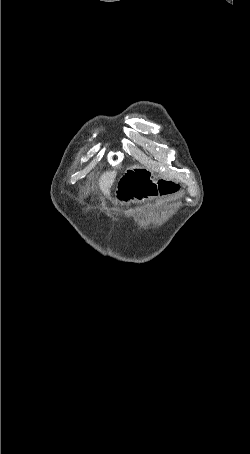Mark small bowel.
I'll use <instances>...</instances> for the list:
<instances>
[{
  "label": "small bowel",
  "mask_w": 250,
  "mask_h": 454,
  "mask_svg": "<svg viewBox=\"0 0 250 454\" xmlns=\"http://www.w3.org/2000/svg\"><path fill=\"white\" fill-rule=\"evenodd\" d=\"M178 186L165 180L156 181L150 174L130 171L119 181L116 197L121 202L142 201L176 192Z\"/></svg>",
  "instance_id": "small-bowel-1"
}]
</instances>
